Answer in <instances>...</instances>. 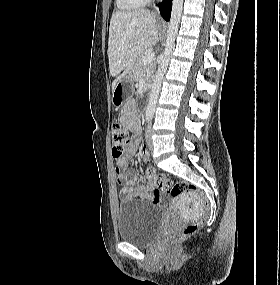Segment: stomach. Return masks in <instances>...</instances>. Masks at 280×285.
Wrapping results in <instances>:
<instances>
[{"mask_svg":"<svg viewBox=\"0 0 280 285\" xmlns=\"http://www.w3.org/2000/svg\"><path fill=\"white\" fill-rule=\"evenodd\" d=\"M131 85L132 77L130 75L126 76L117 83L112 95V103L115 106H120L125 101V99L128 97Z\"/></svg>","mask_w":280,"mask_h":285,"instance_id":"obj_1","label":"stomach"}]
</instances>
